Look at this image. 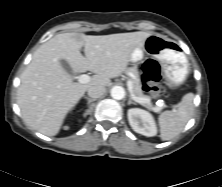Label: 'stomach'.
Here are the masks:
<instances>
[{"label":"stomach","instance_id":"stomach-1","mask_svg":"<svg viewBox=\"0 0 222 187\" xmlns=\"http://www.w3.org/2000/svg\"><path fill=\"white\" fill-rule=\"evenodd\" d=\"M144 54L156 58L165 76L172 85L182 84L189 75L188 59L181 46L166 36L152 33L142 46L136 47L130 56L131 62H139Z\"/></svg>","mask_w":222,"mask_h":187}]
</instances>
